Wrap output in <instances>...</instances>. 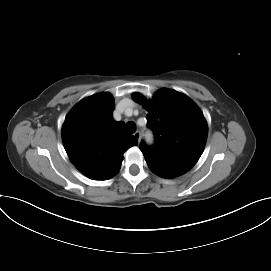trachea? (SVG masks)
Here are the masks:
<instances>
[{
    "mask_svg": "<svg viewBox=\"0 0 271 271\" xmlns=\"http://www.w3.org/2000/svg\"><path fill=\"white\" fill-rule=\"evenodd\" d=\"M125 128H126V131H127L128 133H131V134H132V133H134L135 130H136V125H135L134 122L129 121V122L126 123Z\"/></svg>",
    "mask_w": 271,
    "mask_h": 271,
    "instance_id": "obj_1",
    "label": "trachea"
}]
</instances>
